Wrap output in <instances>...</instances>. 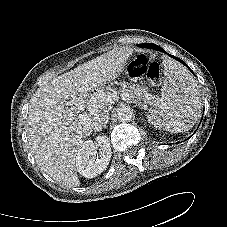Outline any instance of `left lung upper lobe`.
Returning <instances> with one entry per match:
<instances>
[{
    "instance_id": "5c2ea615",
    "label": "left lung upper lobe",
    "mask_w": 227,
    "mask_h": 227,
    "mask_svg": "<svg viewBox=\"0 0 227 227\" xmlns=\"http://www.w3.org/2000/svg\"><path fill=\"white\" fill-rule=\"evenodd\" d=\"M145 45H152L151 43H144ZM142 45V44H141ZM155 45V44H154Z\"/></svg>"
}]
</instances>
